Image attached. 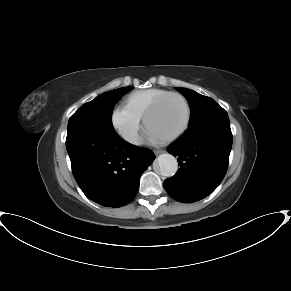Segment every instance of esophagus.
<instances>
[{"label":"esophagus","instance_id":"34e87169","mask_svg":"<svg viewBox=\"0 0 291 291\" xmlns=\"http://www.w3.org/2000/svg\"><path fill=\"white\" fill-rule=\"evenodd\" d=\"M164 152H165L164 150H155L154 151V153H155L156 156H158V155H160V154H162Z\"/></svg>","mask_w":291,"mask_h":291}]
</instances>
